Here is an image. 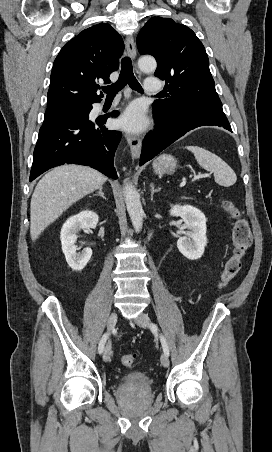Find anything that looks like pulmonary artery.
I'll return each mask as SVG.
<instances>
[{
	"instance_id": "e3ab8cb5",
	"label": "pulmonary artery",
	"mask_w": 272,
	"mask_h": 452,
	"mask_svg": "<svg viewBox=\"0 0 272 452\" xmlns=\"http://www.w3.org/2000/svg\"><path fill=\"white\" fill-rule=\"evenodd\" d=\"M162 89V84L158 78H147L145 81V90L148 93H158ZM98 107H102V104H99Z\"/></svg>"
}]
</instances>
